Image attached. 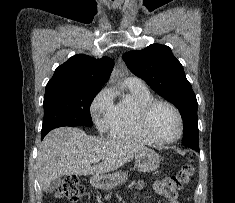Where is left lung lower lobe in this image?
<instances>
[{"instance_id":"left-lung-lower-lobe-1","label":"left lung lower lobe","mask_w":235,"mask_h":203,"mask_svg":"<svg viewBox=\"0 0 235 203\" xmlns=\"http://www.w3.org/2000/svg\"><path fill=\"white\" fill-rule=\"evenodd\" d=\"M193 133L190 132L189 130H184L183 132V145L187 146V147H194V145L192 144V140H193ZM196 151H199V148L195 149Z\"/></svg>"}]
</instances>
